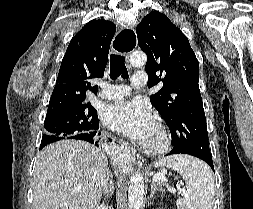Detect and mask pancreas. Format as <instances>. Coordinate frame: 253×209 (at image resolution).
<instances>
[{"instance_id":"cf45deb5","label":"pancreas","mask_w":253,"mask_h":209,"mask_svg":"<svg viewBox=\"0 0 253 209\" xmlns=\"http://www.w3.org/2000/svg\"><path fill=\"white\" fill-rule=\"evenodd\" d=\"M157 186L159 191L164 192L165 190L162 188V186L168 187L169 185L166 182H158Z\"/></svg>"}]
</instances>
